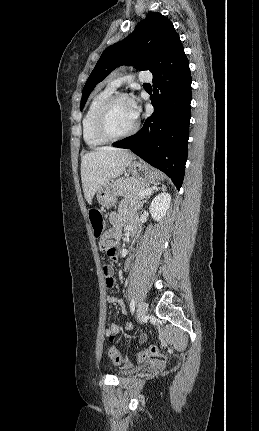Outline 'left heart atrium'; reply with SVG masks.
<instances>
[{
	"instance_id": "39dd6f15",
	"label": "left heart atrium",
	"mask_w": 259,
	"mask_h": 431,
	"mask_svg": "<svg viewBox=\"0 0 259 431\" xmlns=\"http://www.w3.org/2000/svg\"><path fill=\"white\" fill-rule=\"evenodd\" d=\"M128 105L130 107V110L133 114V116L137 119L140 113V107L137 98L131 97L128 99Z\"/></svg>"
}]
</instances>
